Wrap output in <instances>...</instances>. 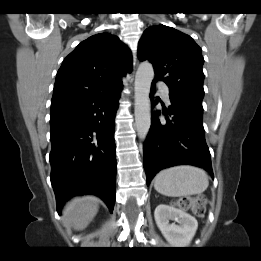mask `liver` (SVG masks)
Returning <instances> with one entry per match:
<instances>
[{
	"label": "liver",
	"instance_id": "obj_1",
	"mask_svg": "<svg viewBox=\"0 0 261 261\" xmlns=\"http://www.w3.org/2000/svg\"><path fill=\"white\" fill-rule=\"evenodd\" d=\"M98 212V199L94 196L78 197L71 200L65 208V221L75 230H83Z\"/></svg>",
	"mask_w": 261,
	"mask_h": 261
}]
</instances>
